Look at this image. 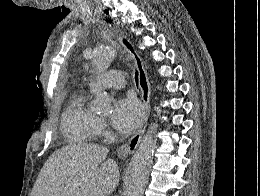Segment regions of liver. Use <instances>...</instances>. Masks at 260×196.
Masks as SVG:
<instances>
[{
	"label": "liver",
	"instance_id": "6515ba94",
	"mask_svg": "<svg viewBox=\"0 0 260 196\" xmlns=\"http://www.w3.org/2000/svg\"><path fill=\"white\" fill-rule=\"evenodd\" d=\"M105 146L76 144L56 150L46 160L30 196H110L120 172L115 160H106Z\"/></svg>",
	"mask_w": 260,
	"mask_h": 196
}]
</instances>
